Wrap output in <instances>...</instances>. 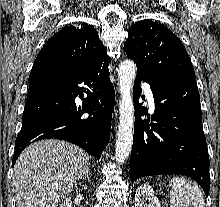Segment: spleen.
Wrapping results in <instances>:
<instances>
[{
	"mask_svg": "<svg viewBox=\"0 0 220 207\" xmlns=\"http://www.w3.org/2000/svg\"><path fill=\"white\" fill-rule=\"evenodd\" d=\"M170 207H204L202 191L191 180L174 177L170 181Z\"/></svg>",
	"mask_w": 220,
	"mask_h": 207,
	"instance_id": "1",
	"label": "spleen"
}]
</instances>
